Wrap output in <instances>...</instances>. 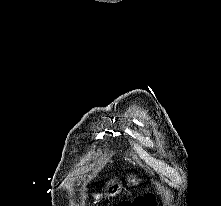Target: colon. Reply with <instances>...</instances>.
<instances>
[{
    "instance_id": "colon-1",
    "label": "colon",
    "mask_w": 221,
    "mask_h": 206,
    "mask_svg": "<svg viewBox=\"0 0 221 206\" xmlns=\"http://www.w3.org/2000/svg\"><path fill=\"white\" fill-rule=\"evenodd\" d=\"M155 198L152 194L136 197L133 201H123L114 206H153Z\"/></svg>"
}]
</instances>
